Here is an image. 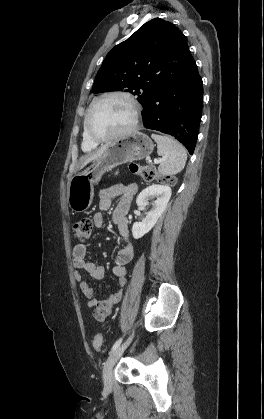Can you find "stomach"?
Instances as JSON below:
<instances>
[{"label":"stomach","instance_id":"obj_1","mask_svg":"<svg viewBox=\"0 0 264 419\" xmlns=\"http://www.w3.org/2000/svg\"><path fill=\"white\" fill-rule=\"evenodd\" d=\"M154 149L151 139L144 133L134 132L108 144L105 152L84 171L73 176L68 185L67 199L70 209L86 211L94 196V185L112 168L148 157Z\"/></svg>","mask_w":264,"mask_h":419}]
</instances>
